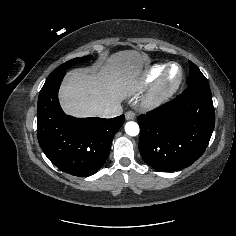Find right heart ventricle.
I'll use <instances>...</instances> for the list:
<instances>
[{
  "instance_id": "e07e8e85",
  "label": "right heart ventricle",
  "mask_w": 236,
  "mask_h": 236,
  "mask_svg": "<svg viewBox=\"0 0 236 236\" xmlns=\"http://www.w3.org/2000/svg\"><path fill=\"white\" fill-rule=\"evenodd\" d=\"M167 65L165 64H157L148 69L145 74L144 83H149L157 78H159L164 70L166 69Z\"/></svg>"
}]
</instances>
